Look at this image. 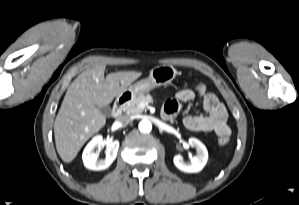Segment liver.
<instances>
[{
    "instance_id": "liver-1",
    "label": "liver",
    "mask_w": 299,
    "mask_h": 205,
    "mask_svg": "<svg viewBox=\"0 0 299 205\" xmlns=\"http://www.w3.org/2000/svg\"><path fill=\"white\" fill-rule=\"evenodd\" d=\"M105 68L98 64L84 70L67 89L54 122L56 149L66 163L105 125L106 117L99 108L108 106L142 74L120 71L105 78Z\"/></svg>"
}]
</instances>
